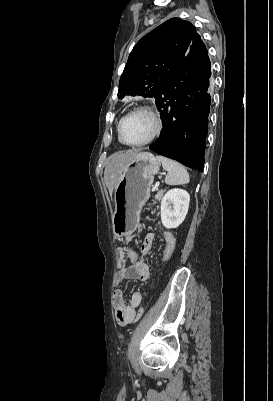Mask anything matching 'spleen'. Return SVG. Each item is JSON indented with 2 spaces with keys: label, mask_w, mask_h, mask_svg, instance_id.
Returning <instances> with one entry per match:
<instances>
[{
  "label": "spleen",
  "mask_w": 273,
  "mask_h": 401,
  "mask_svg": "<svg viewBox=\"0 0 273 401\" xmlns=\"http://www.w3.org/2000/svg\"><path fill=\"white\" fill-rule=\"evenodd\" d=\"M156 158L159 162H162L164 170H168L165 176L166 184H186V182H189V174L180 162H175V160L166 158V156H156Z\"/></svg>",
  "instance_id": "spleen-1"
}]
</instances>
